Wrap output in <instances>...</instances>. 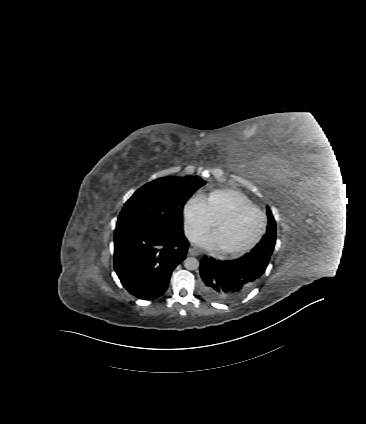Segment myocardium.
I'll use <instances>...</instances> for the list:
<instances>
[{"label": "myocardium", "instance_id": "1", "mask_svg": "<svg viewBox=\"0 0 366 424\" xmlns=\"http://www.w3.org/2000/svg\"><path fill=\"white\" fill-rule=\"evenodd\" d=\"M248 210H254V211L258 212L261 216L262 226H261V229H260L258 235L256 236V238L251 243H249L247 246H245L241 249H238V250L219 249L218 253L220 255H222L224 257H239V256H242V255L250 252L251 250H253L260 243L262 238L264 237L266 230H267V224H268L267 216H266L265 212L259 206L255 205V204L241 205V206L236 207L235 209L231 210L230 212H228L224 216L218 218L213 224L212 234H214V232L216 231V229L219 226L233 221L240 214H242L243 212L248 211Z\"/></svg>", "mask_w": 366, "mask_h": 424}]
</instances>
